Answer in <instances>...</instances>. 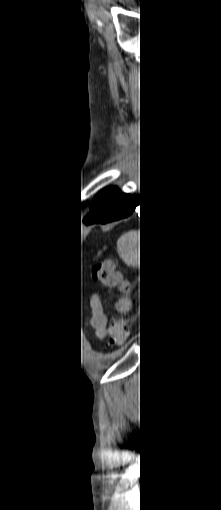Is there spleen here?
I'll list each match as a JSON object with an SVG mask.
<instances>
[{
  "label": "spleen",
  "mask_w": 221,
  "mask_h": 510,
  "mask_svg": "<svg viewBox=\"0 0 221 510\" xmlns=\"http://www.w3.org/2000/svg\"><path fill=\"white\" fill-rule=\"evenodd\" d=\"M117 248L120 256L127 263L134 262L138 255L139 234L135 231H128L123 234L117 242Z\"/></svg>",
  "instance_id": "obj_1"
}]
</instances>
